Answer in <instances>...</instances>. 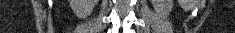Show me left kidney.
I'll return each mask as SVG.
<instances>
[{"instance_id": "1", "label": "left kidney", "mask_w": 235, "mask_h": 33, "mask_svg": "<svg viewBox=\"0 0 235 33\" xmlns=\"http://www.w3.org/2000/svg\"><path fill=\"white\" fill-rule=\"evenodd\" d=\"M155 11L161 16H168L173 8V0H150Z\"/></svg>"}]
</instances>
